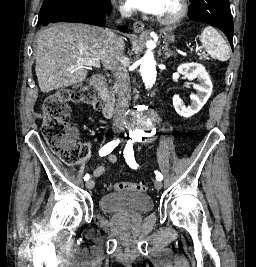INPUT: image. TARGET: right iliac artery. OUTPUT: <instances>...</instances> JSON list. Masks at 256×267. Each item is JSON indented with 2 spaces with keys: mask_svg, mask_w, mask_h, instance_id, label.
I'll use <instances>...</instances> for the list:
<instances>
[{
  "mask_svg": "<svg viewBox=\"0 0 256 267\" xmlns=\"http://www.w3.org/2000/svg\"><path fill=\"white\" fill-rule=\"evenodd\" d=\"M119 142L120 140L117 139L107 143L99 150V155L103 157L110 154L113 151V149L119 144ZM89 178H90L89 174H86L84 180L87 181L89 180Z\"/></svg>",
  "mask_w": 256,
  "mask_h": 267,
  "instance_id": "obj_1",
  "label": "right iliac artery"
}]
</instances>
